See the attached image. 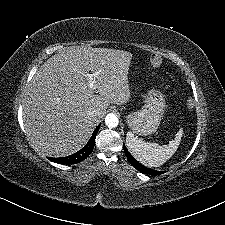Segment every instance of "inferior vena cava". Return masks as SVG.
<instances>
[{
	"label": "inferior vena cava",
	"instance_id": "1",
	"mask_svg": "<svg viewBox=\"0 0 225 225\" xmlns=\"http://www.w3.org/2000/svg\"><path fill=\"white\" fill-rule=\"evenodd\" d=\"M89 115H90L92 118H96V116L98 115V112H96V111H91V112L89 113Z\"/></svg>",
	"mask_w": 225,
	"mask_h": 225
}]
</instances>
